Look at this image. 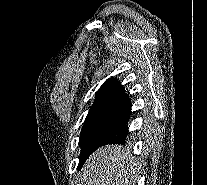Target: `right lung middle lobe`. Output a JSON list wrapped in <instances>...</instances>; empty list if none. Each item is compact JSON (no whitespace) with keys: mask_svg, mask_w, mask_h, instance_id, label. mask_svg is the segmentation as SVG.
I'll return each instance as SVG.
<instances>
[{"mask_svg":"<svg viewBox=\"0 0 207 185\" xmlns=\"http://www.w3.org/2000/svg\"><path fill=\"white\" fill-rule=\"evenodd\" d=\"M125 112L109 110L89 111L80 133V168L87 158L97 149L98 142L123 117Z\"/></svg>","mask_w":207,"mask_h":185,"instance_id":"1","label":"right lung middle lobe"}]
</instances>
